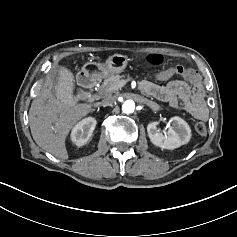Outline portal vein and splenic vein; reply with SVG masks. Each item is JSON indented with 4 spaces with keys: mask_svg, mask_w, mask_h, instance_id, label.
<instances>
[{
    "mask_svg": "<svg viewBox=\"0 0 237 237\" xmlns=\"http://www.w3.org/2000/svg\"><path fill=\"white\" fill-rule=\"evenodd\" d=\"M126 83L125 79H122L120 86H123Z\"/></svg>",
    "mask_w": 237,
    "mask_h": 237,
    "instance_id": "portal-vein-and-splenic-vein-1",
    "label": "portal vein and splenic vein"
}]
</instances>
